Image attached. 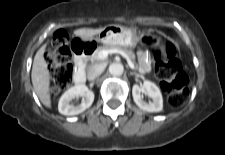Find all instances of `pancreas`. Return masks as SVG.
<instances>
[{"label": "pancreas", "instance_id": "cf45deb5", "mask_svg": "<svg viewBox=\"0 0 225 155\" xmlns=\"http://www.w3.org/2000/svg\"><path fill=\"white\" fill-rule=\"evenodd\" d=\"M113 48H116V49H119V50L124 51L129 56V58L131 59V61L133 63L135 62V59H136L135 53L131 49H129L127 47H124V46H121L119 44H111V45H105V46L98 47L95 50V52L89 57V60L92 63L98 62L100 60L98 58V53L100 51H102V50H108V49H113Z\"/></svg>", "mask_w": 225, "mask_h": 155}]
</instances>
